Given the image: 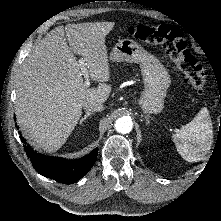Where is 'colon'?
<instances>
[{
    "label": "colon",
    "instance_id": "obj_1",
    "mask_svg": "<svg viewBox=\"0 0 221 221\" xmlns=\"http://www.w3.org/2000/svg\"><path fill=\"white\" fill-rule=\"evenodd\" d=\"M128 33L144 43L161 45L191 88L197 93L204 92L206 80L202 66L187 47L182 32L177 27L167 24L139 25L130 27Z\"/></svg>",
    "mask_w": 221,
    "mask_h": 221
}]
</instances>
